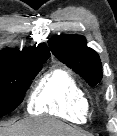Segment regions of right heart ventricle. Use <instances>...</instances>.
I'll return each mask as SVG.
<instances>
[{
	"mask_svg": "<svg viewBox=\"0 0 117 136\" xmlns=\"http://www.w3.org/2000/svg\"><path fill=\"white\" fill-rule=\"evenodd\" d=\"M87 98L84 90L66 68L56 67L36 83L28 101L34 114H50L83 123L86 120Z\"/></svg>",
	"mask_w": 117,
	"mask_h": 136,
	"instance_id": "1",
	"label": "right heart ventricle"
}]
</instances>
